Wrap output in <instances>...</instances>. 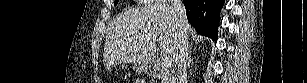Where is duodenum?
<instances>
[{
  "instance_id": "obj_1",
  "label": "duodenum",
  "mask_w": 307,
  "mask_h": 83,
  "mask_svg": "<svg viewBox=\"0 0 307 83\" xmlns=\"http://www.w3.org/2000/svg\"><path fill=\"white\" fill-rule=\"evenodd\" d=\"M157 73H159L158 70H155V69L152 70V74H157Z\"/></svg>"
}]
</instances>
